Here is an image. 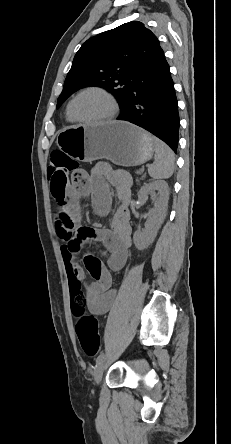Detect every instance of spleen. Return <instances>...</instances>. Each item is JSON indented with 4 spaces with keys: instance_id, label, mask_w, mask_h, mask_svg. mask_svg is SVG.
Wrapping results in <instances>:
<instances>
[{
    "instance_id": "3e777b00",
    "label": "spleen",
    "mask_w": 231,
    "mask_h": 444,
    "mask_svg": "<svg viewBox=\"0 0 231 444\" xmlns=\"http://www.w3.org/2000/svg\"><path fill=\"white\" fill-rule=\"evenodd\" d=\"M155 160L148 168L153 179H167L172 176L175 167V155L171 148L158 138H153Z\"/></svg>"
}]
</instances>
